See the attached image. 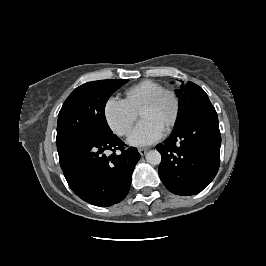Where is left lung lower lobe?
<instances>
[{"label":"left lung lower lobe","instance_id":"left-lung-lower-lobe-1","mask_svg":"<svg viewBox=\"0 0 266 266\" xmlns=\"http://www.w3.org/2000/svg\"><path fill=\"white\" fill-rule=\"evenodd\" d=\"M221 135L215 108L209 105L190 116L156 148L158 168L165 187L177 195L201 192L216 176L220 165Z\"/></svg>","mask_w":266,"mask_h":266}]
</instances>
